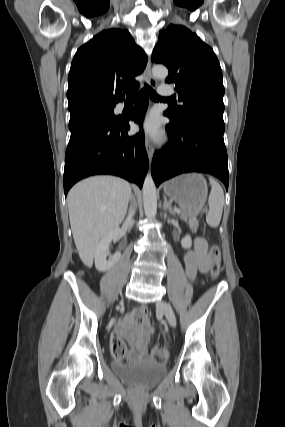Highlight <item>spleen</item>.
Segmentation results:
<instances>
[{"instance_id":"spleen-1","label":"spleen","mask_w":285,"mask_h":427,"mask_svg":"<svg viewBox=\"0 0 285 427\" xmlns=\"http://www.w3.org/2000/svg\"><path fill=\"white\" fill-rule=\"evenodd\" d=\"M209 180L211 183V192L208 198L209 211L206 215V222L209 226L215 228L219 226L221 221L224 205V192L216 180L211 177Z\"/></svg>"}]
</instances>
